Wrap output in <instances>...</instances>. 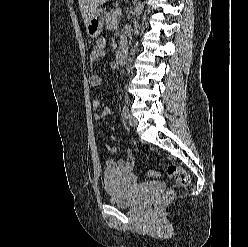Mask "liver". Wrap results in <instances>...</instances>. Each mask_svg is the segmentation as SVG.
Segmentation results:
<instances>
[{"mask_svg": "<svg viewBox=\"0 0 248 247\" xmlns=\"http://www.w3.org/2000/svg\"><path fill=\"white\" fill-rule=\"evenodd\" d=\"M109 0H78L80 12L86 24L89 18L98 11V7Z\"/></svg>", "mask_w": 248, "mask_h": 247, "instance_id": "6515ba94", "label": "liver"}]
</instances>
